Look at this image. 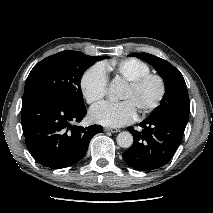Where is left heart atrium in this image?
<instances>
[{
	"label": "left heart atrium",
	"mask_w": 213,
	"mask_h": 213,
	"mask_svg": "<svg viewBox=\"0 0 213 213\" xmlns=\"http://www.w3.org/2000/svg\"><path fill=\"white\" fill-rule=\"evenodd\" d=\"M136 115L137 110L130 100L119 103L102 102L90 111L93 122L109 127L129 124L135 120Z\"/></svg>",
	"instance_id": "left-heart-atrium-1"
}]
</instances>
